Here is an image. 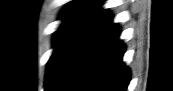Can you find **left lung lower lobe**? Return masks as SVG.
<instances>
[{
  "instance_id": "left-lung-lower-lobe-1",
  "label": "left lung lower lobe",
  "mask_w": 173,
  "mask_h": 91,
  "mask_svg": "<svg viewBox=\"0 0 173 91\" xmlns=\"http://www.w3.org/2000/svg\"><path fill=\"white\" fill-rule=\"evenodd\" d=\"M107 13L69 57L51 91H127L130 69L122 62L125 45Z\"/></svg>"
}]
</instances>
